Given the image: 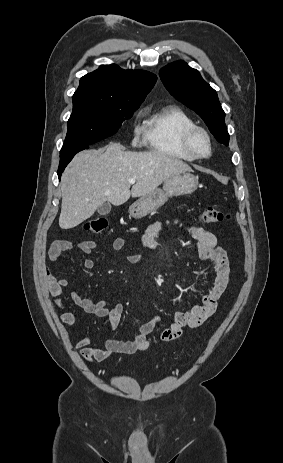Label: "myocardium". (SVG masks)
Wrapping results in <instances>:
<instances>
[{
  "label": "myocardium",
  "instance_id": "obj_1",
  "mask_svg": "<svg viewBox=\"0 0 283 463\" xmlns=\"http://www.w3.org/2000/svg\"><path fill=\"white\" fill-rule=\"evenodd\" d=\"M198 136H203L208 145V151L206 153H201L196 147V138ZM183 144L185 149L197 159L208 158L212 154V138L210 133L203 127L194 125L189 130H187L183 137Z\"/></svg>",
  "mask_w": 283,
  "mask_h": 463
}]
</instances>
